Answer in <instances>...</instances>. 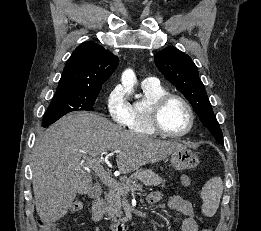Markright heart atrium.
<instances>
[{"label":"right heart atrium","instance_id":"1","mask_svg":"<svg viewBox=\"0 0 261 231\" xmlns=\"http://www.w3.org/2000/svg\"><path fill=\"white\" fill-rule=\"evenodd\" d=\"M129 106L123 87L115 86L106 98V109L111 120L120 126H126Z\"/></svg>","mask_w":261,"mask_h":231}]
</instances>
